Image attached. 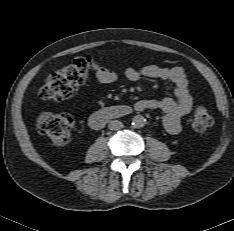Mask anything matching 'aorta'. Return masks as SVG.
Instances as JSON below:
<instances>
[{
	"instance_id": "762f6f07",
	"label": "aorta",
	"mask_w": 234,
	"mask_h": 231,
	"mask_svg": "<svg viewBox=\"0 0 234 231\" xmlns=\"http://www.w3.org/2000/svg\"><path fill=\"white\" fill-rule=\"evenodd\" d=\"M146 119L142 115H136L132 119V125L136 128L144 127Z\"/></svg>"
}]
</instances>
